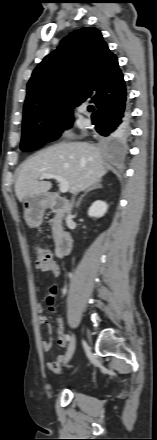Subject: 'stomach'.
<instances>
[{
	"instance_id": "1",
	"label": "stomach",
	"mask_w": 157,
	"mask_h": 440,
	"mask_svg": "<svg viewBox=\"0 0 157 440\" xmlns=\"http://www.w3.org/2000/svg\"><path fill=\"white\" fill-rule=\"evenodd\" d=\"M46 206L47 199L44 195H31L24 198V218L29 227L35 228L41 225Z\"/></svg>"
}]
</instances>
